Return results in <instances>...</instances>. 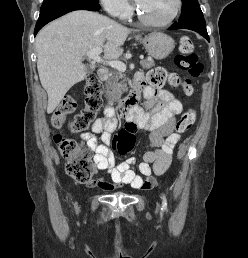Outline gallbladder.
I'll return each mask as SVG.
<instances>
[{
    "label": "gallbladder",
    "instance_id": "1",
    "mask_svg": "<svg viewBox=\"0 0 248 258\" xmlns=\"http://www.w3.org/2000/svg\"><path fill=\"white\" fill-rule=\"evenodd\" d=\"M87 70H88V72H92V71H93L92 65H88V66H87Z\"/></svg>",
    "mask_w": 248,
    "mask_h": 258
}]
</instances>
